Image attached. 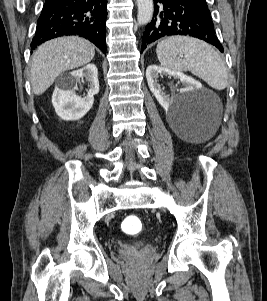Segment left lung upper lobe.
<instances>
[{"label": "left lung upper lobe", "instance_id": "obj_1", "mask_svg": "<svg viewBox=\"0 0 267 301\" xmlns=\"http://www.w3.org/2000/svg\"><path fill=\"white\" fill-rule=\"evenodd\" d=\"M199 1L206 4V1H205V0H199Z\"/></svg>", "mask_w": 267, "mask_h": 301}]
</instances>
